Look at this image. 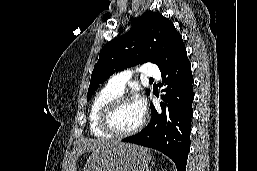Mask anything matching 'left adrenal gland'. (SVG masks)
I'll return each mask as SVG.
<instances>
[{"label": "left adrenal gland", "instance_id": "left-adrenal-gland-1", "mask_svg": "<svg viewBox=\"0 0 257 171\" xmlns=\"http://www.w3.org/2000/svg\"><path fill=\"white\" fill-rule=\"evenodd\" d=\"M153 165H154V164H152V166H153ZM152 166H150V168H148L146 171H151Z\"/></svg>", "mask_w": 257, "mask_h": 171}]
</instances>
